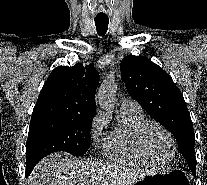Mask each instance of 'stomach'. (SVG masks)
I'll list each match as a JSON object with an SVG mask.
<instances>
[{
  "instance_id": "0dacf381",
  "label": "stomach",
  "mask_w": 207,
  "mask_h": 185,
  "mask_svg": "<svg viewBox=\"0 0 207 185\" xmlns=\"http://www.w3.org/2000/svg\"><path fill=\"white\" fill-rule=\"evenodd\" d=\"M136 185H190L189 178L181 169H172L147 175L135 183Z\"/></svg>"
}]
</instances>
